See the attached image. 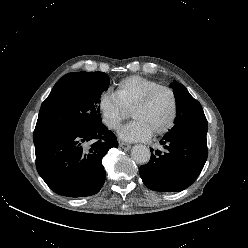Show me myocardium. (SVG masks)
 Returning a JSON list of instances; mask_svg holds the SVG:
<instances>
[{
	"label": "myocardium",
	"mask_w": 248,
	"mask_h": 248,
	"mask_svg": "<svg viewBox=\"0 0 248 248\" xmlns=\"http://www.w3.org/2000/svg\"><path fill=\"white\" fill-rule=\"evenodd\" d=\"M162 90L169 92V94L171 95L172 112H171L170 118L167 121V123L163 127H161L160 129H158L152 133L154 136L161 135V134L168 132L170 129H172V127L175 124V121H176V118L178 115V99H177V95H176L175 91L169 86L159 85L157 87L152 88L146 94H144L130 109V112H131L134 109L145 107L146 105H148V103L151 101V99L154 97V95L156 93H158L159 91H162Z\"/></svg>",
	"instance_id": "1"
}]
</instances>
